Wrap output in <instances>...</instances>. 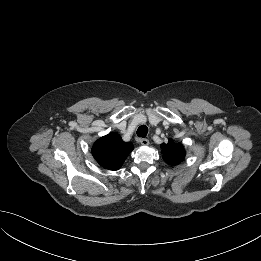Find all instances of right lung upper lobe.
<instances>
[{"mask_svg":"<svg viewBox=\"0 0 261 261\" xmlns=\"http://www.w3.org/2000/svg\"><path fill=\"white\" fill-rule=\"evenodd\" d=\"M133 148V144L124 142L120 135L109 133L93 144L92 154L104 168L118 170Z\"/></svg>","mask_w":261,"mask_h":261,"instance_id":"1","label":"right lung upper lobe"}]
</instances>
